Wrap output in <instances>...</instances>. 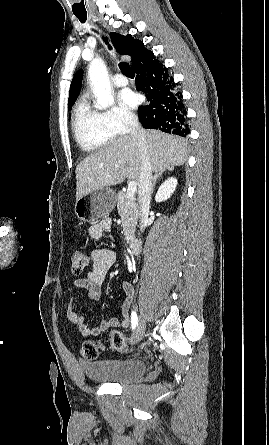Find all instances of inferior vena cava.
I'll list each match as a JSON object with an SVG mask.
<instances>
[{"instance_id": "602c4592", "label": "inferior vena cava", "mask_w": 269, "mask_h": 445, "mask_svg": "<svg viewBox=\"0 0 269 445\" xmlns=\"http://www.w3.org/2000/svg\"><path fill=\"white\" fill-rule=\"evenodd\" d=\"M129 133L136 140L137 147L141 159V171L139 180V194L138 199L140 203V231H143L147 226L148 212L150 208L151 186L153 182L152 168L150 162V155L148 152V145L146 141L145 130L139 125L138 119L135 117L129 118Z\"/></svg>"}]
</instances>
